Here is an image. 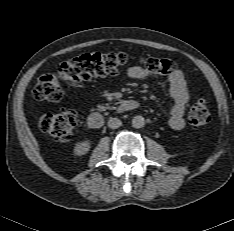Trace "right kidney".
<instances>
[{
	"mask_svg": "<svg viewBox=\"0 0 234 231\" xmlns=\"http://www.w3.org/2000/svg\"><path fill=\"white\" fill-rule=\"evenodd\" d=\"M89 149H90V141L89 140L81 141L75 145L74 153L79 156L84 155L89 151Z\"/></svg>",
	"mask_w": 234,
	"mask_h": 231,
	"instance_id": "1",
	"label": "right kidney"
}]
</instances>
